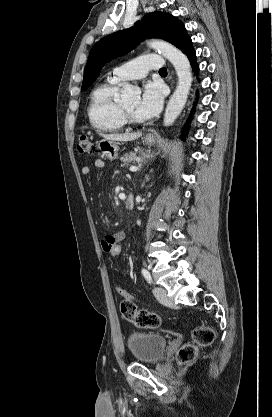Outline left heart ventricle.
I'll return each mask as SVG.
<instances>
[{"label":"left heart ventricle","mask_w":272,"mask_h":417,"mask_svg":"<svg viewBox=\"0 0 272 417\" xmlns=\"http://www.w3.org/2000/svg\"><path fill=\"white\" fill-rule=\"evenodd\" d=\"M124 108L127 109L128 111H130L131 113H133L135 116H137L136 113H135L136 108H137L136 103L126 104V105H124Z\"/></svg>","instance_id":"obj_1"}]
</instances>
